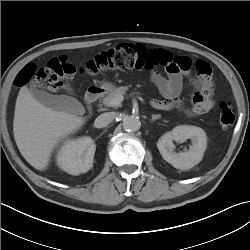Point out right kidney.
Wrapping results in <instances>:
<instances>
[{
	"instance_id": "1",
	"label": "right kidney",
	"mask_w": 250,
	"mask_h": 250,
	"mask_svg": "<svg viewBox=\"0 0 250 250\" xmlns=\"http://www.w3.org/2000/svg\"><path fill=\"white\" fill-rule=\"evenodd\" d=\"M96 145L90 137L68 140L57 154V165L71 175L85 173L93 166Z\"/></svg>"
}]
</instances>
